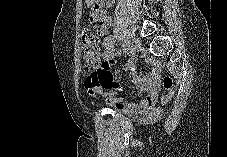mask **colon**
I'll use <instances>...</instances> for the list:
<instances>
[{
    "mask_svg": "<svg viewBox=\"0 0 227 157\" xmlns=\"http://www.w3.org/2000/svg\"><path fill=\"white\" fill-rule=\"evenodd\" d=\"M98 37L89 29H83L81 32V52L83 58L84 71L88 74L86 83H94L102 78L100 72V61L98 54ZM163 85L168 90V94L162 98V102L168 100L174 91L173 79L166 76Z\"/></svg>",
    "mask_w": 227,
    "mask_h": 157,
    "instance_id": "1",
    "label": "colon"
}]
</instances>
